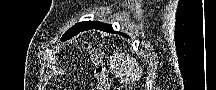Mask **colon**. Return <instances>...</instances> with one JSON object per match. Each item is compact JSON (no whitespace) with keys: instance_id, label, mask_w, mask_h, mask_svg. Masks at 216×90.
Masks as SVG:
<instances>
[{"instance_id":"1","label":"colon","mask_w":216,"mask_h":90,"mask_svg":"<svg viewBox=\"0 0 216 90\" xmlns=\"http://www.w3.org/2000/svg\"><path fill=\"white\" fill-rule=\"evenodd\" d=\"M91 59L95 79L92 90H109L110 80L107 69L102 61L101 54L97 50H92Z\"/></svg>"}]
</instances>
